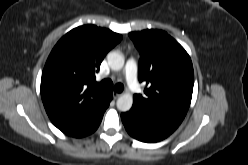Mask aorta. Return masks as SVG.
I'll return each mask as SVG.
<instances>
[{
  "label": "aorta",
  "mask_w": 248,
  "mask_h": 165,
  "mask_svg": "<svg viewBox=\"0 0 248 165\" xmlns=\"http://www.w3.org/2000/svg\"><path fill=\"white\" fill-rule=\"evenodd\" d=\"M107 61L110 68L114 71H119L124 66V56L117 51H112L107 54ZM118 110L122 112L129 111L133 105V96L130 93L121 95L116 102Z\"/></svg>",
  "instance_id": "obj_1"
}]
</instances>
